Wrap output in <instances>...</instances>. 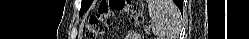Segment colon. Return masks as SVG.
Masks as SVG:
<instances>
[{
	"label": "colon",
	"mask_w": 249,
	"mask_h": 39,
	"mask_svg": "<svg viewBox=\"0 0 249 39\" xmlns=\"http://www.w3.org/2000/svg\"><path fill=\"white\" fill-rule=\"evenodd\" d=\"M124 11L130 12L134 18H137L140 13L136 6H132L123 0L101 2L97 8V12L92 14L88 19L85 33L86 39L103 37L108 32L114 15Z\"/></svg>",
	"instance_id": "colon-1"
}]
</instances>
